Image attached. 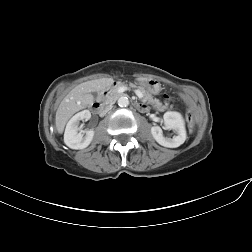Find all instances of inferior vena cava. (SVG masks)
<instances>
[{
    "label": "inferior vena cava",
    "mask_w": 252,
    "mask_h": 252,
    "mask_svg": "<svg viewBox=\"0 0 252 252\" xmlns=\"http://www.w3.org/2000/svg\"><path fill=\"white\" fill-rule=\"evenodd\" d=\"M112 109V105H107V106H105L103 109H101V111H100V115L101 116H104L109 110H111Z\"/></svg>",
    "instance_id": "inferior-vena-cava-1"
}]
</instances>
